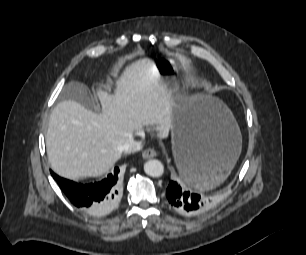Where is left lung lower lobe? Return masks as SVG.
<instances>
[{"label": "left lung lower lobe", "mask_w": 306, "mask_h": 255, "mask_svg": "<svg viewBox=\"0 0 306 255\" xmlns=\"http://www.w3.org/2000/svg\"><path fill=\"white\" fill-rule=\"evenodd\" d=\"M208 171L209 169L205 164L192 157H184L181 165V175L184 180L204 179L209 173ZM166 197L175 211L186 216L198 215L204 212L210 204L207 197L185 190L176 181H170L166 190Z\"/></svg>", "instance_id": "obj_1"}]
</instances>
